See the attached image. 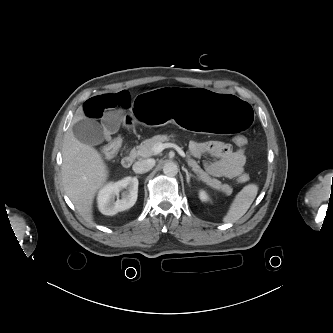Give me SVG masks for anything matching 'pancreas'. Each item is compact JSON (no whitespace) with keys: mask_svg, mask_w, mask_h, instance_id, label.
I'll return each instance as SVG.
<instances>
[{"mask_svg":"<svg viewBox=\"0 0 333 333\" xmlns=\"http://www.w3.org/2000/svg\"><path fill=\"white\" fill-rule=\"evenodd\" d=\"M170 140V137L167 135H156L150 139H146L143 141L139 146L136 147V150H134V153L137 156L140 157H150L155 154L153 148L154 145L157 143H163ZM187 163L189 167L192 168L194 173L198 176V179L205 182L210 187L224 192L226 195H230L232 193V188L228 184H222L219 180L215 178H211L208 173H206L201 167L198 165V163L188 157Z\"/></svg>","mask_w":333,"mask_h":333,"instance_id":"pancreas-1","label":"pancreas"}]
</instances>
